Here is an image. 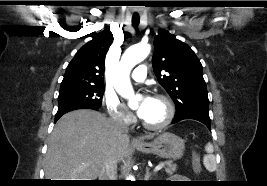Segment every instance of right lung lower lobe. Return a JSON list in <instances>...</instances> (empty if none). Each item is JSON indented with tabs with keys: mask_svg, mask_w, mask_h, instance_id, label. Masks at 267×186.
I'll use <instances>...</instances> for the list:
<instances>
[{
	"mask_svg": "<svg viewBox=\"0 0 267 186\" xmlns=\"http://www.w3.org/2000/svg\"><path fill=\"white\" fill-rule=\"evenodd\" d=\"M98 107L96 106H89V105H78V106H70V107H63V108H59L56 115H55V122L65 113L70 112L72 110H76V109H97ZM113 185V184H110Z\"/></svg>",
	"mask_w": 267,
	"mask_h": 186,
	"instance_id": "right-lung-lower-lobe-1",
	"label": "right lung lower lobe"
}]
</instances>
